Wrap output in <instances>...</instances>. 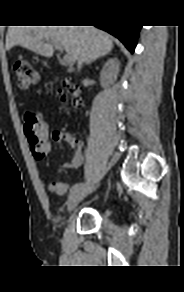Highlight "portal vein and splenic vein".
<instances>
[{"mask_svg":"<svg viewBox=\"0 0 184 292\" xmlns=\"http://www.w3.org/2000/svg\"><path fill=\"white\" fill-rule=\"evenodd\" d=\"M53 44H54V46H55L58 50H60L61 52H63V48H62V46H61L58 42H53ZM63 62H64V64H69V63L71 62V59H70V57H69L68 54H65V55L63 56Z\"/></svg>","mask_w":184,"mask_h":292,"instance_id":"1","label":"portal vein and splenic vein"}]
</instances>
